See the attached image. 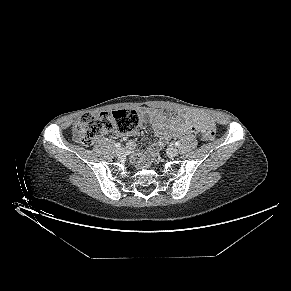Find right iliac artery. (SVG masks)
Returning a JSON list of instances; mask_svg holds the SVG:
<instances>
[{"label":"right iliac artery","instance_id":"right-iliac-artery-1","mask_svg":"<svg viewBox=\"0 0 291 291\" xmlns=\"http://www.w3.org/2000/svg\"><path fill=\"white\" fill-rule=\"evenodd\" d=\"M120 147H121V144L120 143H116L115 144V148H118L119 149Z\"/></svg>","mask_w":291,"mask_h":291}]
</instances>
